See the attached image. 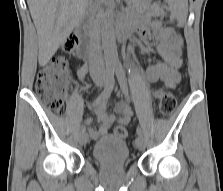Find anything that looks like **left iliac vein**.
I'll list each match as a JSON object with an SVG mask.
<instances>
[{
	"instance_id": "1",
	"label": "left iliac vein",
	"mask_w": 223,
	"mask_h": 191,
	"mask_svg": "<svg viewBox=\"0 0 223 191\" xmlns=\"http://www.w3.org/2000/svg\"><path fill=\"white\" fill-rule=\"evenodd\" d=\"M135 146L137 149L139 150H143L144 147H145V142H144V138L142 136H138L136 139H135Z\"/></svg>"
}]
</instances>
